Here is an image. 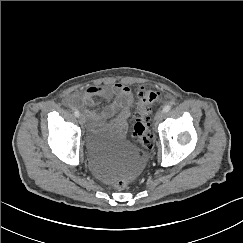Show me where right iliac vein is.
I'll return each instance as SVG.
<instances>
[{
  "label": "right iliac vein",
  "mask_w": 243,
  "mask_h": 243,
  "mask_svg": "<svg viewBox=\"0 0 243 243\" xmlns=\"http://www.w3.org/2000/svg\"><path fill=\"white\" fill-rule=\"evenodd\" d=\"M79 121H80L81 124H83L85 122L83 115L79 116Z\"/></svg>",
  "instance_id": "obj_1"
}]
</instances>
